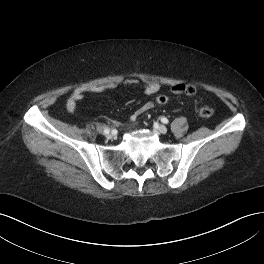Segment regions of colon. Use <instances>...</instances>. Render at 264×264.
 <instances>
[{"label": "colon", "mask_w": 264, "mask_h": 264, "mask_svg": "<svg viewBox=\"0 0 264 264\" xmlns=\"http://www.w3.org/2000/svg\"><path fill=\"white\" fill-rule=\"evenodd\" d=\"M184 92L187 95H194L196 92V89L193 85H185ZM168 101H169V98L166 95H159L156 98V102L159 105H165L168 103ZM197 113L199 116L203 118H209L214 114V109L211 106L202 105L198 107Z\"/></svg>", "instance_id": "1"}]
</instances>
